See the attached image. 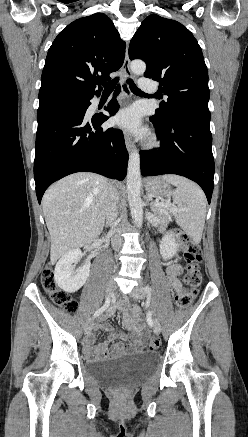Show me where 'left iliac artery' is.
Wrapping results in <instances>:
<instances>
[{
	"instance_id": "left-iliac-artery-1",
	"label": "left iliac artery",
	"mask_w": 248,
	"mask_h": 437,
	"mask_svg": "<svg viewBox=\"0 0 248 437\" xmlns=\"http://www.w3.org/2000/svg\"><path fill=\"white\" fill-rule=\"evenodd\" d=\"M143 289L145 290L146 293H150L152 291V289L149 286H145ZM147 322H148V325L151 327L154 325L151 312H149L147 315Z\"/></svg>"
}]
</instances>
